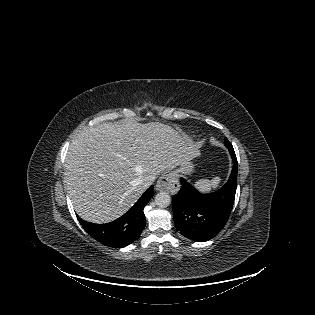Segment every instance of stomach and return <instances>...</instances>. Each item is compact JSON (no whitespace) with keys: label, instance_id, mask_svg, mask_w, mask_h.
<instances>
[{"label":"stomach","instance_id":"stomach-1","mask_svg":"<svg viewBox=\"0 0 315 315\" xmlns=\"http://www.w3.org/2000/svg\"><path fill=\"white\" fill-rule=\"evenodd\" d=\"M193 171V165L191 162L179 167L173 174L178 177L179 174H190Z\"/></svg>","mask_w":315,"mask_h":315}]
</instances>
